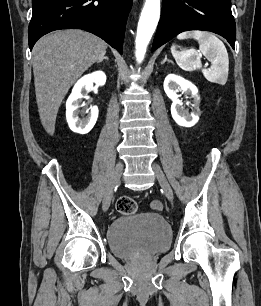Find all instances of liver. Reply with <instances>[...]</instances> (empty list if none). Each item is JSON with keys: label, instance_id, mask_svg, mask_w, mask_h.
I'll list each match as a JSON object with an SVG mask.
<instances>
[{"label": "liver", "instance_id": "obj_1", "mask_svg": "<svg viewBox=\"0 0 261 306\" xmlns=\"http://www.w3.org/2000/svg\"><path fill=\"white\" fill-rule=\"evenodd\" d=\"M107 44L78 29L56 31L42 37L33 48V73L41 123L54 134L59 107L73 83L101 60Z\"/></svg>", "mask_w": 261, "mask_h": 306}]
</instances>
